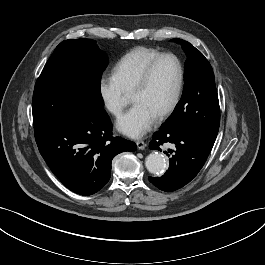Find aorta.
Segmentation results:
<instances>
[{
  "label": "aorta",
  "mask_w": 265,
  "mask_h": 265,
  "mask_svg": "<svg viewBox=\"0 0 265 265\" xmlns=\"http://www.w3.org/2000/svg\"><path fill=\"white\" fill-rule=\"evenodd\" d=\"M145 165L147 170L156 175H161L166 169V161L164 156L159 152L151 153L146 161Z\"/></svg>",
  "instance_id": "aorta-1"
}]
</instances>
